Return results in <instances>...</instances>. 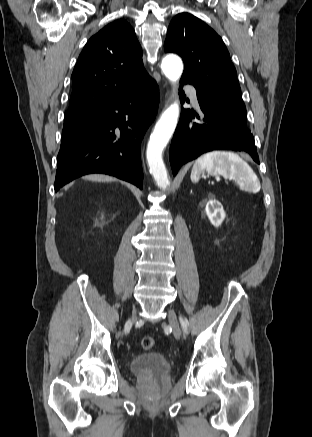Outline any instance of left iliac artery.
<instances>
[{
	"label": "left iliac artery",
	"instance_id": "obj_1",
	"mask_svg": "<svg viewBox=\"0 0 312 437\" xmlns=\"http://www.w3.org/2000/svg\"><path fill=\"white\" fill-rule=\"evenodd\" d=\"M180 321H181V325H182L184 331L187 332L188 325H189L188 320H187V319H182V318H181Z\"/></svg>",
	"mask_w": 312,
	"mask_h": 437
}]
</instances>
